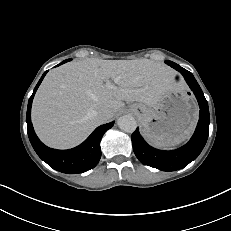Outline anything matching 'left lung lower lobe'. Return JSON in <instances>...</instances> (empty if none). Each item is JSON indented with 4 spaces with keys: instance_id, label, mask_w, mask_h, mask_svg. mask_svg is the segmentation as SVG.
I'll use <instances>...</instances> for the list:
<instances>
[{
    "instance_id": "1",
    "label": "left lung lower lobe",
    "mask_w": 231,
    "mask_h": 231,
    "mask_svg": "<svg viewBox=\"0 0 231 231\" xmlns=\"http://www.w3.org/2000/svg\"><path fill=\"white\" fill-rule=\"evenodd\" d=\"M177 70L184 76L200 107L199 121L190 141L179 149L162 151L149 146L140 135L138 128L131 136L133 150L139 161L163 171L182 169L195 160L203 150L209 135V108L203 92L191 72L182 67Z\"/></svg>"
}]
</instances>
